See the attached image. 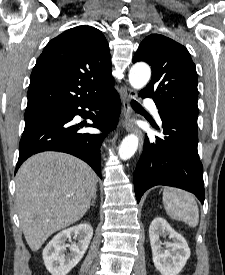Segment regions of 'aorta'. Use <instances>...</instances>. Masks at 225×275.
I'll list each match as a JSON object with an SVG mask.
<instances>
[{"instance_id": "aorta-1", "label": "aorta", "mask_w": 225, "mask_h": 275, "mask_svg": "<svg viewBox=\"0 0 225 275\" xmlns=\"http://www.w3.org/2000/svg\"><path fill=\"white\" fill-rule=\"evenodd\" d=\"M151 69L145 63H137L129 71V83L135 89L143 88L149 81ZM138 137L135 134L126 136L119 146V157L122 160L130 159L138 148Z\"/></svg>"}]
</instances>
